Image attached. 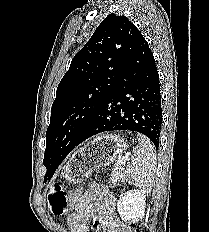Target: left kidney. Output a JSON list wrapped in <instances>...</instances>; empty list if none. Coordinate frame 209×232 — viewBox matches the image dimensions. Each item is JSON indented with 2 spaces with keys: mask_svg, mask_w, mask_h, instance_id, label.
I'll return each instance as SVG.
<instances>
[{
  "mask_svg": "<svg viewBox=\"0 0 209 232\" xmlns=\"http://www.w3.org/2000/svg\"><path fill=\"white\" fill-rule=\"evenodd\" d=\"M146 192L130 190L122 194L117 202V211L123 221H139L144 217Z\"/></svg>",
  "mask_w": 209,
  "mask_h": 232,
  "instance_id": "5707ae66",
  "label": "left kidney"
}]
</instances>
